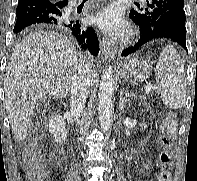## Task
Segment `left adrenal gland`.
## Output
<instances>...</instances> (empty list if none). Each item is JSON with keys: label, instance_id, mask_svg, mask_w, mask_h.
Instances as JSON below:
<instances>
[{"label": "left adrenal gland", "instance_id": "a2214340", "mask_svg": "<svg viewBox=\"0 0 197 181\" xmlns=\"http://www.w3.org/2000/svg\"><path fill=\"white\" fill-rule=\"evenodd\" d=\"M127 98L123 97V91H120V96H119V110L123 111L125 107V103H127Z\"/></svg>", "mask_w": 197, "mask_h": 181}]
</instances>
